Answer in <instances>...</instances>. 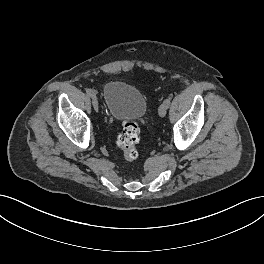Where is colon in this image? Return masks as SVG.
I'll use <instances>...</instances> for the list:
<instances>
[{
	"label": "colon",
	"mask_w": 264,
	"mask_h": 264,
	"mask_svg": "<svg viewBox=\"0 0 264 264\" xmlns=\"http://www.w3.org/2000/svg\"><path fill=\"white\" fill-rule=\"evenodd\" d=\"M140 140V129L135 121L123 123L122 130L117 137V146L123 151L124 158L133 162L138 158L137 144Z\"/></svg>",
	"instance_id": "1"
}]
</instances>
